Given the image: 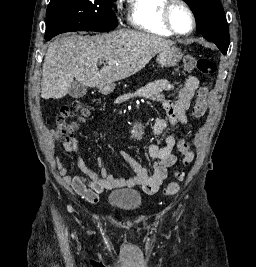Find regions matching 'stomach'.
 Returning a JSON list of instances; mask_svg holds the SVG:
<instances>
[{"label": "stomach", "instance_id": "obj_1", "mask_svg": "<svg viewBox=\"0 0 256 267\" xmlns=\"http://www.w3.org/2000/svg\"><path fill=\"white\" fill-rule=\"evenodd\" d=\"M182 58V52L180 48L174 46V44H167L164 46L162 50L159 52V56H157L158 64L161 66H165V68H170V66H176L178 62H180Z\"/></svg>", "mask_w": 256, "mask_h": 267}]
</instances>
